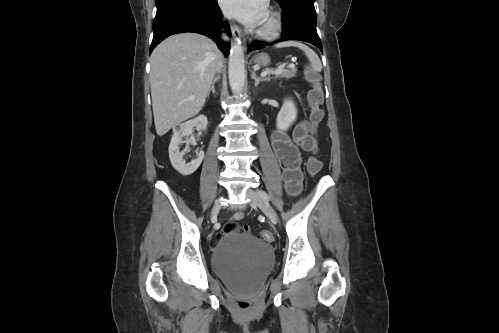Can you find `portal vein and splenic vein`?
<instances>
[{
  "instance_id": "portal-vein-and-splenic-vein-1",
  "label": "portal vein and splenic vein",
  "mask_w": 499,
  "mask_h": 333,
  "mask_svg": "<svg viewBox=\"0 0 499 333\" xmlns=\"http://www.w3.org/2000/svg\"><path fill=\"white\" fill-rule=\"evenodd\" d=\"M289 67H290V68H294L295 66H294V64H293V63H291V64L289 65ZM283 68H284V66H283V65H280V66H278V67H277V69H276V70H274V71H269V70H268V71H264V72H262V73H261V76H266V75H268V74H270V73H280L281 71H283ZM188 99H189V100H193V99H194V97H193V96H190Z\"/></svg>"
}]
</instances>
